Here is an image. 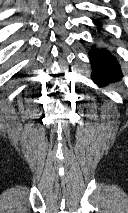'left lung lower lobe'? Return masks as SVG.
<instances>
[{
	"instance_id": "obj_1",
	"label": "left lung lower lobe",
	"mask_w": 128,
	"mask_h": 213,
	"mask_svg": "<svg viewBox=\"0 0 128 213\" xmlns=\"http://www.w3.org/2000/svg\"><path fill=\"white\" fill-rule=\"evenodd\" d=\"M94 23L100 25L97 20ZM89 56L93 66L92 77L96 82H103L121 71L117 60L104 49L93 50L89 53Z\"/></svg>"
}]
</instances>
